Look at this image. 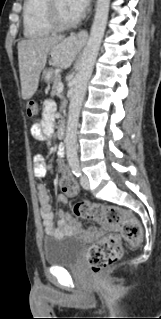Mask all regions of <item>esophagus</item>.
Wrapping results in <instances>:
<instances>
[{"mask_svg": "<svg viewBox=\"0 0 161 319\" xmlns=\"http://www.w3.org/2000/svg\"><path fill=\"white\" fill-rule=\"evenodd\" d=\"M80 42H85L87 40L88 34L85 30H80L77 34H73Z\"/></svg>", "mask_w": 161, "mask_h": 319, "instance_id": "esophagus-1", "label": "esophagus"}]
</instances>
